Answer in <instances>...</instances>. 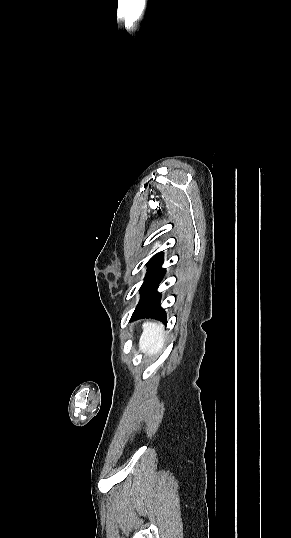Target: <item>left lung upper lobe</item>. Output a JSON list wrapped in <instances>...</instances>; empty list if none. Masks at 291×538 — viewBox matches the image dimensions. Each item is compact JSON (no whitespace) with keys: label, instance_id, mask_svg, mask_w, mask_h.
I'll use <instances>...</instances> for the list:
<instances>
[{"label":"left lung upper lobe","instance_id":"obj_1","mask_svg":"<svg viewBox=\"0 0 291 538\" xmlns=\"http://www.w3.org/2000/svg\"><path fill=\"white\" fill-rule=\"evenodd\" d=\"M161 255V252L160 253H157L156 255H154L147 264H151L156 258H158L159 256Z\"/></svg>","mask_w":291,"mask_h":538}]
</instances>
